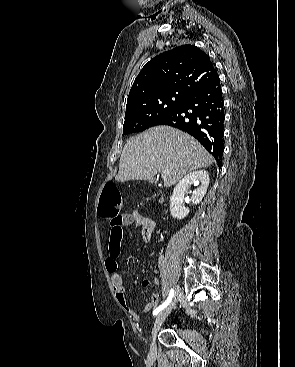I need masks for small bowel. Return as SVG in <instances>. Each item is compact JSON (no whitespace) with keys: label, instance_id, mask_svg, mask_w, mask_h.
<instances>
[{"label":"small bowel","instance_id":"obj_1","mask_svg":"<svg viewBox=\"0 0 295 367\" xmlns=\"http://www.w3.org/2000/svg\"><path fill=\"white\" fill-rule=\"evenodd\" d=\"M139 226L141 237L144 242H149L155 228V222L148 217L142 216L136 210L121 215L118 221H110L109 228V255L105 260V267L111 276V283L116 299L121 307L127 311L134 319H139L144 313L152 310L160 300V294L154 293L145 304L141 313L131 309L127 303L126 289L123 284V276L119 270L118 259L121 253V240L123 228L128 226ZM152 284H159L158 278H147L142 281V286L148 287Z\"/></svg>","mask_w":295,"mask_h":367}]
</instances>
